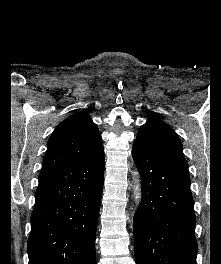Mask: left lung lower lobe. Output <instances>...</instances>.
<instances>
[{
    "instance_id": "left-lung-lower-lobe-1",
    "label": "left lung lower lobe",
    "mask_w": 221,
    "mask_h": 264,
    "mask_svg": "<svg viewBox=\"0 0 221 264\" xmlns=\"http://www.w3.org/2000/svg\"><path fill=\"white\" fill-rule=\"evenodd\" d=\"M142 201L134 216L136 264H196L188 166L133 145Z\"/></svg>"
}]
</instances>
